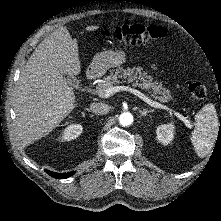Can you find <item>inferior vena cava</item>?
Here are the masks:
<instances>
[{"instance_id": "obj_1", "label": "inferior vena cava", "mask_w": 221, "mask_h": 221, "mask_svg": "<svg viewBox=\"0 0 221 221\" xmlns=\"http://www.w3.org/2000/svg\"><path fill=\"white\" fill-rule=\"evenodd\" d=\"M90 110L95 114L104 115L110 111V106L105 103H92Z\"/></svg>"}]
</instances>
